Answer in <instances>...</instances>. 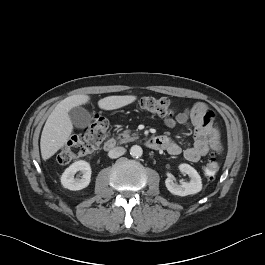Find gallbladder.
Listing matches in <instances>:
<instances>
[{
  "label": "gallbladder",
  "instance_id": "bac80fb5",
  "mask_svg": "<svg viewBox=\"0 0 265 265\" xmlns=\"http://www.w3.org/2000/svg\"><path fill=\"white\" fill-rule=\"evenodd\" d=\"M72 124L77 128H85L91 123V114L82 107H74L69 111Z\"/></svg>",
  "mask_w": 265,
  "mask_h": 265
}]
</instances>
